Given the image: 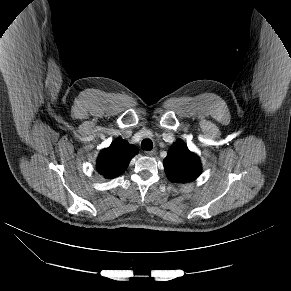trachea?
Listing matches in <instances>:
<instances>
[{"mask_svg": "<svg viewBox=\"0 0 291 291\" xmlns=\"http://www.w3.org/2000/svg\"><path fill=\"white\" fill-rule=\"evenodd\" d=\"M141 148L146 151H151L153 148V142L150 139H144L141 142Z\"/></svg>", "mask_w": 291, "mask_h": 291, "instance_id": "1", "label": "trachea"}]
</instances>
